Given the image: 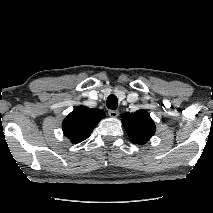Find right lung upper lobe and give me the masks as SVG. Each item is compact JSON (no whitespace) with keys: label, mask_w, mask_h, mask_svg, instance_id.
Here are the masks:
<instances>
[{"label":"right lung upper lobe","mask_w":213,"mask_h":213,"mask_svg":"<svg viewBox=\"0 0 213 213\" xmlns=\"http://www.w3.org/2000/svg\"><path fill=\"white\" fill-rule=\"evenodd\" d=\"M105 117L100 109L79 106L64 119L62 129L72 143H80L90 136L99 121Z\"/></svg>","instance_id":"obj_1"}]
</instances>
